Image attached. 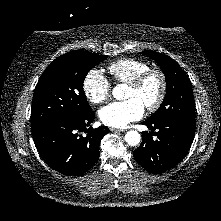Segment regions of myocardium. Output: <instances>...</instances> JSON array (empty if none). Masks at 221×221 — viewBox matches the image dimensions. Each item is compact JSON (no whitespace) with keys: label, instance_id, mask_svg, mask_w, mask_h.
Returning <instances> with one entry per match:
<instances>
[{"label":"myocardium","instance_id":"1","mask_svg":"<svg viewBox=\"0 0 221 221\" xmlns=\"http://www.w3.org/2000/svg\"><path fill=\"white\" fill-rule=\"evenodd\" d=\"M151 76H156L159 79L160 88L155 101L145 106V108L150 112L157 110L165 99L167 93V79L164 72L158 68H148L128 83L129 87L138 90Z\"/></svg>","mask_w":221,"mask_h":221}]
</instances>
